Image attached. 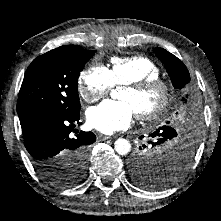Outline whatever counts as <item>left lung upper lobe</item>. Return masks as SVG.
<instances>
[{
	"instance_id": "5c2ea615",
	"label": "left lung upper lobe",
	"mask_w": 221,
	"mask_h": 221,
	"mask_svg": "<svg viewBox=\"0 0 221 221\" xmlns=\"http://www.w3.org/2000/svg\"><path fill=\"white\" fill-rule=\"evenodd\" d=\"M155 53L165 65L174 88L183 89L187 92L190 75L184 63L165 49L156 47ZM186 98H188V95H186ZM186 98H183L185 103L187 102ZM164 127L169 126H163L151 135L154 138L153 141H149L152 147H156L173 138H164L159 134ZM143 147L146 146L143 145ZM140 150L130 158V174L137 185L147 189L164 188L176 181L185 171L190 160L184 150L164 153L160 157L148 151H142L141 147ZM132 159L134 161H131Z\"/></svg>"
}]
</instances>
